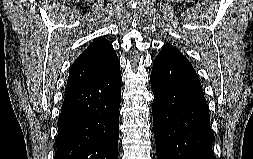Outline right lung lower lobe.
Here are the masks:
<instances>
[{
    "instance_id": "1",
    "label": "right lung lower lobe",
    "mask_w": 253,
    "mask_h": 159,
    "mask_svg": "<svg viewBox=\"0 0 253 159\" xmlns=\"http://www.w3.org/2000/svg\"><path fill=\"white\" fill-rule=\"evenodd\" d=\"M120 99V63L66 91L54 159H117Z\"/></svg>"
}]
</instances>
